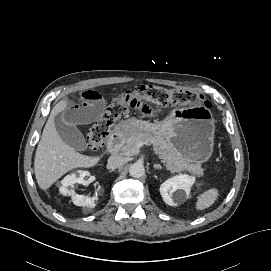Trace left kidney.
<instances>
[{
  "instance_id": "left-kidney-1",
  "label": "left kidney",
  "mask_w": 271,
  "mask_h": 271,
  "mask_svg": "<svg viewBox=\"0 0 271 271\" xmlns=\"http://www.w3.org/2000/svg\"><path fill=\"white\" fill-rule=\"evenodd\" d=\"M194 178L178 175L166 180L160 186V193L166 204L176 206L188 198Z\"/></svg>"
}]
</instances>
